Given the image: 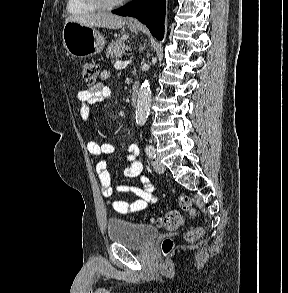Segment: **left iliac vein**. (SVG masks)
<instances>
[{
    "label": "left iliac vein",
    "instance_id": "obj_1",
    "mask_svg": "<svg viewBox=\"0 0 288 293\" xmlns=\"http://www.w3.org/2000/svg\"><path fill=\"white\" fill-rule=\"evenodd\" d=\"M152 165H153L154 170H155L157 173H164L165 170H166L165 165H164V164H163L158 158H155V159L152 161Z\"/></svg>",
    "mask_w": 288,
    "mask_h": 293
}]
</instances>
